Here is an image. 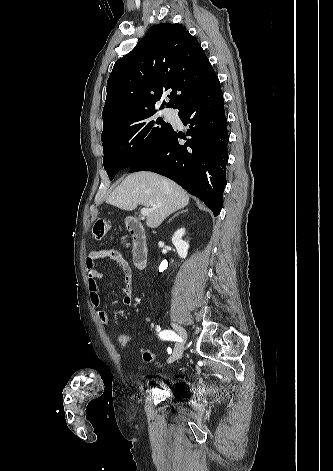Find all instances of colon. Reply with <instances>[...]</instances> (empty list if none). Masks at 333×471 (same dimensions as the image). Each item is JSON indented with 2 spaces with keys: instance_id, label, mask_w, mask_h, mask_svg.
<instances>
[{
  "instance_id": "5ec220e1",
  "label": "colon",
  "mask_w": 333,
  "mask_h": 471,
  "mask_svg": "<svg viewBox=\"0 0 333 471\" xmlns=\"http://www.w3.org/2000/svg\"><path fill=\"white\" fill-rule=\"evenodd\" d=\"M109 230L110 223L105 219H100L94 224L92 234L95 239L101 240L106 237ZM116 341L122 347H126L134 343V339L125 333H119L116 337ZM140 352L144 361L151 362L154 359V354L151 350L142 347Z\"/></svg>"
}]
</instances>
